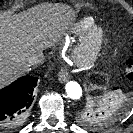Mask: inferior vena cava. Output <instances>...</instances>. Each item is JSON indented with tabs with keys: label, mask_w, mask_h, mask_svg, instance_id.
<instances>
[{
	"label": "inferior vena cava",
	"mask_w": 133,
	"mask_h": 133,
	"mask_svg": "<svg viewBox=\"0 0 133 133\" xmlns=\"http://www.w3.org/2000/svg\"><path fill=\"white\" fill-rule=\"evenodd\" d=\"M44 61H45V56L42 51H38L32 54L27 60L28 65H38L44 63Z\"/></svg>",
	"instance_id": "1"
}]
</instances>
